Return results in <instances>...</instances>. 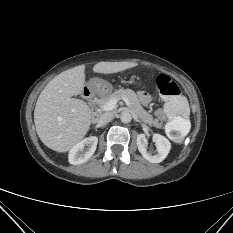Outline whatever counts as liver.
Here are the masks:
<instances>
[{"label":"liver","instance_id":"1","mask_svg":"<svg viewBox=\"0 0 233 233\" xmlns=\"http://www.w3.org/2000/svg\"><path fill=\"white\" fill-rule=\"evenodd\" d=\"M132 62H99L94 73L112 74L137 66ZM85 65L66 70L54 77L40 93L34 123L40 140L57 152H67L89 131L92 111L80 95L85 85Z\"/></svg>","mask_w":233,"mask_h":233}]
</instances>
